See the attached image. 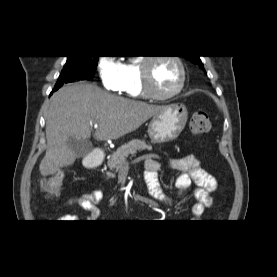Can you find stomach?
<instances>
[{"mask_svg": "<svg viewBox=\"0 0 277 277\" xmlns=\"http://www.w3.org/2000/svg\"><path fill=\"white\" fill-rule=\"evenodd\" d=\"M188 119L185 105L177 103L164 106L153 116L148 126V135L153 143L175 140L184 129Z\"/></svg>", "mask_w": 277, "mask_h": 277, "instance_id": "stomach-1", "label": "stomach"}]
</instances>
